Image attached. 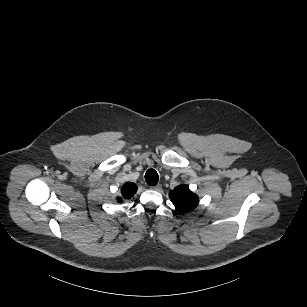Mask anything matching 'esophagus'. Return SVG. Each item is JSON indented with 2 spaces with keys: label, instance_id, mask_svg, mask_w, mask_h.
<instances>
[{
  "label": "esophagus",
  "instance_id": "34e87169",
  "mask_svg": "<svg viewBox=\"0 0 307 307\" xmlns=\"http://www.w3.org/2000/svg\"><path fill=\"white\" fill-rule=\"evenodd\" d=\"M161 188H162V185H161V184H157V185H155V186L152 187V189H153V190H156V191L161 190Z\"/></svg>",
  "mask_w": 307,
  "mask_h": 307
}]
</instances>
